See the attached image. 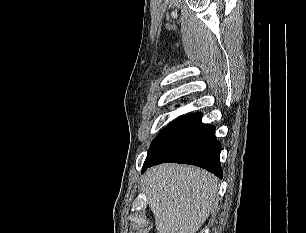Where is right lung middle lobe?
I'll list each match as a JSON object with an SVG mask.
<instances>
[{
    "label": "right lung middle lobe",
    "mask_w": 306,
    "mask_h": 233,
    "mask_svg": "<svg viewBox=\"0 0 306 233\" xmlns=\"http://www.w3.org/2000/svg\"><path fill=\"white\" fill-rule=\"evenodd\" d=\"M201 113H194L183 116L170 125H168L159 135L152 141L151 148L144 163L154 159L161 151H163L172 141H174L192 122H194Z\"/></svg>",
    "instance_id": "obj_1"
}]
</instances>
